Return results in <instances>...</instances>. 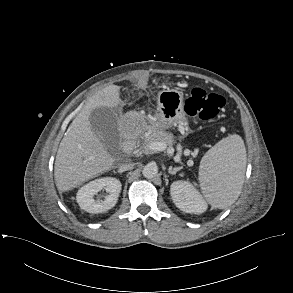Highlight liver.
Segmentation results:
<instances>
[{
  "label": "liver",
  "instance_id": "obj_1",
  "mask_svg": "<svg viewBox=\"0 0 293 293\" xmlns=\"http://www.w3.org/2000/svg\"><path fill=\"white\" fill-rule=\"evenodd\" d=\"M121 102L120 86H107L95 93L73 120L56 155L54 178L58 191L72 190L113 167L115 159L92 130L90 114L97 107L113 108Z\"/></svg>",
  "mask_w": 293,
  "mask_h": 293
}]
</instances>
